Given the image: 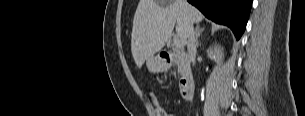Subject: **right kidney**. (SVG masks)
<instances>
[{
    "mask_svg": "<svg viewBox=\"0 0 305 116\" xmlns=\"http://www.w3.org/2000/svg\"><path fill=\"white\" fill-rule=\"evenodd\" d=\"M207 54L210 59L214 60L217 63H219L224 57L223 48H221L218 45L217 46L215 45L214 49L209 48L207 50Z\"/></svg>",
    "mask_w": 305,
    "mask_h": 116,
    "instance_id": "1",
    "label": "right kidney"
}]
</instances>
